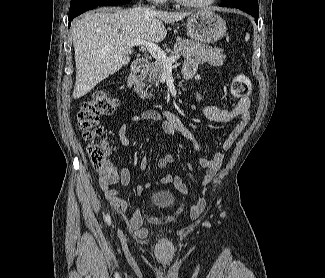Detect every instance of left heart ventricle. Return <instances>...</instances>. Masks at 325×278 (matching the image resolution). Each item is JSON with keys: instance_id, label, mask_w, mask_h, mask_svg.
I'll return each mask as SVG.
<instances>
[{"instance_id": "left-heart-ventricle-1", "label": "left heart ventricle", "mask_w": 325, "mask_h": 278, "mask_svg": "<svg viewBox=\"0 0 325 278\" xmlns=\"http://www.w3.org/2000/svg\"><path fill=\"white\" fill-rule=\"evenodd\" d=\"M192 1H199L200 2V1H205V0H192Z\"/></svg>"}]
</instances>
